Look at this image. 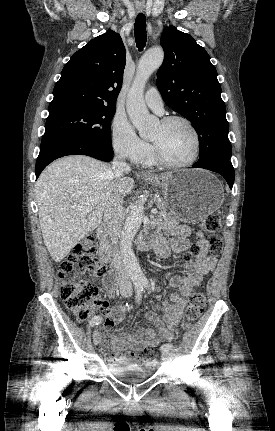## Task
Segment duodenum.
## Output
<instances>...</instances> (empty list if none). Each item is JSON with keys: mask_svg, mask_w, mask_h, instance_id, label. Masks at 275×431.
Returning <instances> with one entry per match:
<instances>
[{"mask_svg": "<svg viewBox=\"0 0 275 431\" xmlns=\"http://www.w3.org/2000/svg\"><path fill=\"white\" fill-rule=\"evenodd\" d=\"M97 237L99 240V256L104 263H111L114 259V253L112 246L110 245L107 235H106V227L104 224H101L97 228ZM154 244L153 239L144 238L141 240L139 247L142 251L149 250Z\"/></svg>", "mask_w": 275, "mask_h": 431, "instance_id": "obj_1", "label": "duodenum"}]
</instances>
